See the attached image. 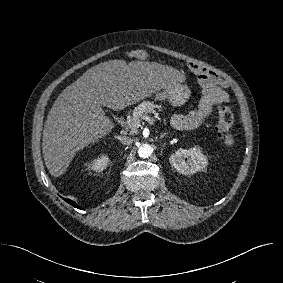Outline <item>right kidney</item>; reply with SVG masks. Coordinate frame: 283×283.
I'll list each match as a JSON object with an SVG mask.
<instances>
[{
  "label": "right kidney",
  "instance_id": "ca27d5eb",
  "mask_svg": "<svg viewBox=\"0 0 283 283\" xmlns=\"http://www.w3.org/2000/svg\"><path fill=\"white\" fill-rule=\"evenodd\" d=\"M108 162V156L102 155L89 162L88 167L96 172H102L107 167Z\"/></svg>",
  "mask_w": 283,
  "mask_h": 283
}]
</instances>
